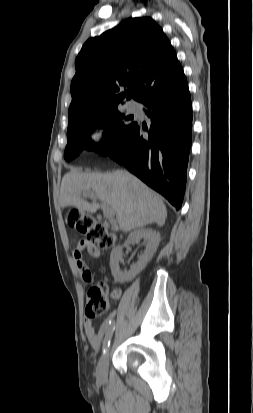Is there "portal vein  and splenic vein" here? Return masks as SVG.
I'll use <instances>...</instances> for the list:
<instances>
[{"label":"portal vein and splenic vein","mask_w":253,"mask_h":413,"mask_svg":"<svg viewBox=\"0 0 253 413\" xmlns=\"http://www.w3.org/2000/svg\"><path fill=\"white\" fill-rule=\"evenodd\" d=\"M83 195H84L85 197H89V198H91V199H93V200H96V196H95V194H94L93 192H90V191H89V192H85ZM101 208H102L103 214H104V216H105L106 218H111V217H113L114 212L112 211V209H110V208L108 207L107 204L102 203V204H101Z\"/></svg>","instance_id":"1"}]
</instances>
